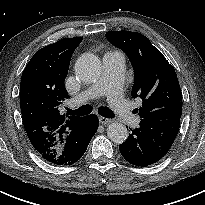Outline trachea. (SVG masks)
<instances>
[{
    "instance_id": "1",
    "label": "trachea",
    "mask_w": 205,
    "mask_h": 205,
    "mask_svg": "<svg viewBox=\"0 0 205 205\" xmlns=\"http://www.w3.org/2000/svg\"><path fill=\"white\" fill-rule=\"evenodd\" d=\"M92 106L91 105H84L78 108L77 110H70L68 109V114L78 115V116H84L92 112ZM98 112L100 115L106 118H113L115 116L114 112L110 110L107 107H100L98 109Z\"/></svg>"
}]
</instances>
